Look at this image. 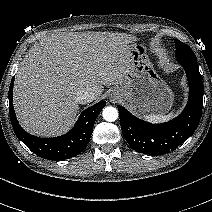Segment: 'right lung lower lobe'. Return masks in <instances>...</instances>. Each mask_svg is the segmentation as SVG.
I'll use <instances>...</instances> for the list:
<instances>
[{"label": "right lung lower lobe", "mask_w": 212, "mask_h": 212, "mask_svg": "<svg viewBox=\"0 0 212 212\" xmlns=\"http://www.w3.org/2000/svg\"><path fill=\"white\" fill-rule=\"evenodd\" d=\"M12 78L9 88V113L17 137L36 155L49 160H64L77 156L87 146L94 122L100 111L106 105L105 101H100L84 110L76 125L65 135L54 138H40L27 133L18 123L13 107V84Z\"/></svg>", "instance_id": "98d812e1"}]
</instances>
